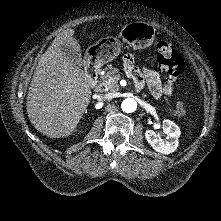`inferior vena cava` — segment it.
<instances>
[{"label":"inferior vena cava","mask_w":221,"mask_h":221,"mask_svg":"<svg viewBox=\"0 0 221 221\" xmlns=\"http://www.w3.org/2000/svg\"><path fill=\"white\" fill-rule=\"evenodd\" d=\"M102 98H103L104 100H109V99L112 98V95H110V94H105V95L102 96Z\"/></svg>","instance_id":"obj_1"}]
</instances>
